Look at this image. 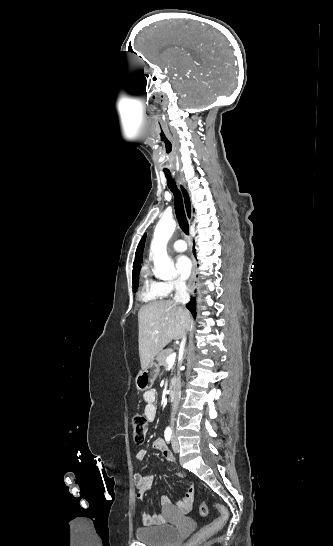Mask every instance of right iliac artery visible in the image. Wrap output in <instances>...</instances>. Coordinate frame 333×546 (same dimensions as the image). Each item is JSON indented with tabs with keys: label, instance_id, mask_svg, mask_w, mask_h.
<instances>
[{
	"label": "right iliac artery",
	"instance_id": "1",
	"mask_svg": "<svg viewBox=\"0 0 333 546\" xmlns=\"http://www.w3.org/2000/svg\"><path fill=\"white\" fill-rule=\"evenodd\" d=\"M172 431L170 429H166L164 433L165 440L169 443L171 440Z\"/></svg>",
	"mask_w": 333,
	"mask_h": 546
}]
</instances>
